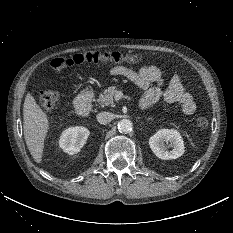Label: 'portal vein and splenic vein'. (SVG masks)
<instances>
[{
	"label": "portal vein and splenic vein",
	"mask_w": 233,
	"mask_h": 233,
	"mask_svg": "<svg viewBox=\"0 0 233 233\" xmlns=\"http://www.w3.org/2000/svg\"><path fill=\"white\" fill-rule=\"evenodd\" d=\"M117 100L122 98V93L121 92H117L116 97Z\"/></svg>",
	"instance_id": "obj_1"
}]
</instances>
